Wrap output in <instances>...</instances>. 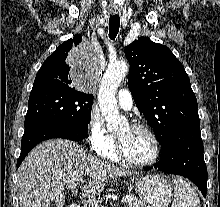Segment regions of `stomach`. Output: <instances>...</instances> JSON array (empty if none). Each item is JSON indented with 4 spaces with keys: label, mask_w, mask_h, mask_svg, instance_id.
Returning a JSON list of instances; mask_svg holds the SVG:
<instances>
[{
    "label": "stomach",
    "mask_w": 220,
    "mask_h": 207,
    "mask_svg": "<svg viewBox=\"0 0 220 207\" xmlns=\"http://www.w3.org/2000/svg\"><path fill=\"white\" fill-rule=\"evenodd\" d=\"M132 184L151 207H167L172 199L171 184L159 174H146L132 178Z\"/></svg>",
    "instance_id": "0dacf381"
}]
</instances>
